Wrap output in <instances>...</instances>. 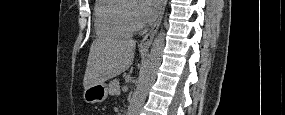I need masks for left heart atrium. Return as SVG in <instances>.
<instances>
[{"label":"left heart atrium","mask_w":285,"mask_h":115,"mask_svg":"<svg viewBox=\"0 0 285 115\" xmlns=\"http://www.w3.org/2000/svg\"><path fill=\"white\" fill-rule=\"evenodd\" d=\"M160 0H140L138 18L143 23L150 22L158 12Z\"/></svg>","instance_id":"left-heart-atrium-1"}]
</instances>
